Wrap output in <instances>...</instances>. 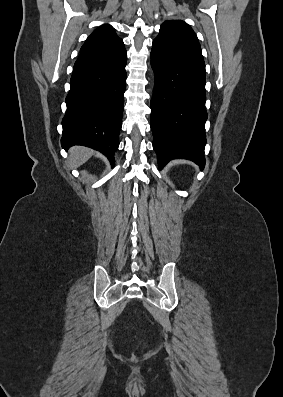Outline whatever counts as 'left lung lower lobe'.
<instances>
[{"mask_svg": "<svg viewBox=\"0 0 283 397\" xmlns=\"http://www.w3.org/2000/svg\"><path fill=\"white\" fill-rule=\"evenodd\" d=\"M155 87L151 100L153 148L159 169L172 159L205 166V74L153 43Z\"/></svg>", "mask_w": 283, "mask_h": 397, "instance_id": "1", "label": "left lung lower lobe"}]
</instances>
